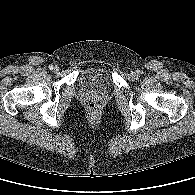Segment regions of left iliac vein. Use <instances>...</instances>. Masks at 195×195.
I'll use <instances>...</instances> for the list:
<instances>
[{"instance_id": "4c4485c4", "label": "left iliac vein", "mask_w": 195, "mask_h": 195, "mask_svg": "<svg viewBox=\"0 0 195 195\" xmlns=\"http://www.w3.org/2000/svg\"><path fill=\"white\" fill-rule=\"evenodd\" d=\"M131 75H132L133 77H135V76H136V73H135V72H131Z\"/></svg>"}]
</instances>
